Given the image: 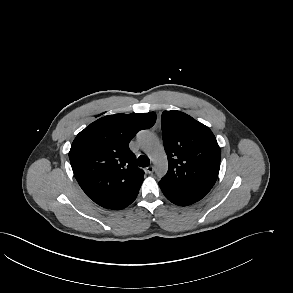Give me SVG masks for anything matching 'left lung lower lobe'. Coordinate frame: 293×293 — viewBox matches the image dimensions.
Segmentation results:
<instances>
[{
    "mask_svg": "<svg viewBox=\"0 0 293 293\" xmlns=\"http://www.w3.org/2000/svg\"><path fill=\"white\" fill-rule=\"evenodd\" d=\"M159 186L167 199L179 206L191 205L204 197L193 192L173 189L162 182H159Z\"/></svg>",
    "mask_w": 293,
    "mask_h": 293,
    "instance_id": "left-lung-lower-lobe-1",
    "label": "left lung lower lobe"
}]
</instances>
